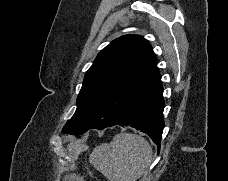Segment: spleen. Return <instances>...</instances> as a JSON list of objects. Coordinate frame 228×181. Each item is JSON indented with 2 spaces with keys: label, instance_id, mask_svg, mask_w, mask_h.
Masks as SVG:
<instances>
[{
  "label": "spleen",
  "instance_id": "3e777b00",
  "mask_svg": "<svg viewBox=\"0 0 228 181\" xmlns=\"http://www.w3.org/2000/svg\"><path fill=\"white\" fill-rule=\"evenodd\" d=\"M152 149L143 137L119 133L111 143L95 147L90 163L108 181H137L152 161Z\"/></svg>",
  "mask_w": 228,
  "mask_h": 181
}]
</instances>
